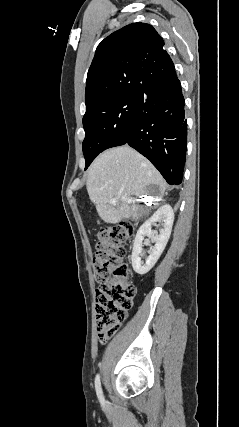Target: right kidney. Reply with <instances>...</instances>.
<instances>
[{
  "instance_id": "right-kidney-1",
  "label": "right kidney",
  "mask_w": 239,
  "mask_h": 427,
  "mask_svg": "<svg viewBox=\"0 0 239 427\" xmlns=\"http://www.w3.org/2000/svg\"><path fill=\"white\" fill-rule=\"evenodd\" d=\"M173 221L174 212L172 207L170 205H163L139 228L134 240L131 256L132 267L136 273L144 275L155 265L170 238ZM156 222L162 225L159 235L154 234L151 229L152 225ZM145 237L153 238L155 245L144 262L141 259V255L143 244H147L146 241L143 242Z\"/></svg>"
}]
</instances>
